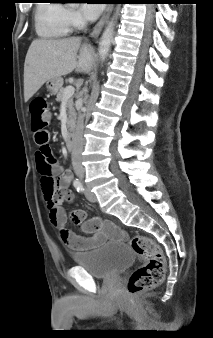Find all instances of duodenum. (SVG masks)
<instances>
[{"label":"duodenum","instance_id":"duodenum-1","mask_svg":"<svg viewBox=\"0 0 213 338\" xmlns=\"http://www.w3.org/2000/svg\"><path fill=\"white\" fill-rule=\"evenodd\" d=\"M74 128L71 127L69 129V134H68V138H67V141H66V147L68 150H71L72 147H73V140H74Z\"/></svg>","mask_w":213,"mask_h":338}]
</instances>
